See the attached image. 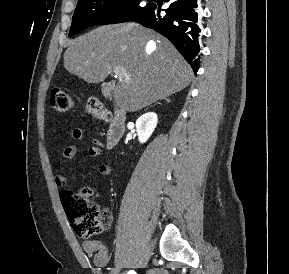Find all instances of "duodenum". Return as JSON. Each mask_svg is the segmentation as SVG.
<instances>
[{
    "label": "duodenum",
    "mask_w": 289,
    "mask_h": 274,
    "mask_svg": "<svg viewBox=\"0 0 289 274\" xmlns=\"http://www.w3.org/2000/svg\"><path fill=\"white\" fill-rule=\"evenodd\" d=\"M109 96L108 93H106ZM126 128V112L123 108L116 105L113 110L109 128L106 135V146L109 149L114 148L124 135Z\"/></svg>",
    "instance_id": "1"
}]
</instances>
